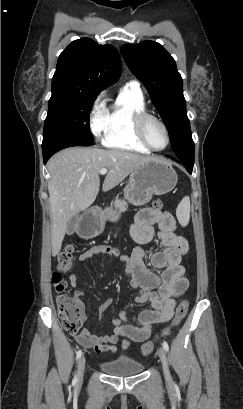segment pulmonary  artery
<instances>
[{
	"instance_id": "1",
	"label": "pulmonary artery",
	"mask_w": 243,
	"mask_h": 409,
	"mask_svg": "<svg viewBox=\"0 0 243 409\" xmlns=\"http://www.w3.org/2000/svg\"><path fill=\"white\" fill-rule=\"evenodd\" d=\"M125 87H129L138 91H141L140 89V83L136 80H130L125 84Z\"/></svg>"
}]
</instances>
